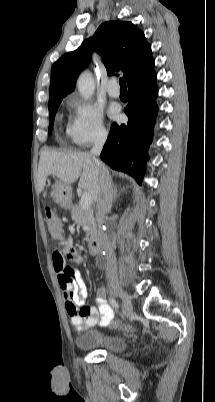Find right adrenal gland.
<instances>
[{
    "label": "right adrenal gland",
    "instance_id": "2a0ac1e0",
    "mask_svg": "<svg viewBox=\"0 0 215 402\" xmlns=\"http://www.w3.org/2000/svg\"><path fill=\"white\" fill-rule=\"evenodd\" d=\"M124 190H125V188H122L121 192L124 191ZM119 195H120V193L117 194V186L115 185L114 188H113V199H114V201H116V199H117V197Z\"/></svg>",
    "mask_w": 215,
    "mask_h": 402
}]
</instances>
